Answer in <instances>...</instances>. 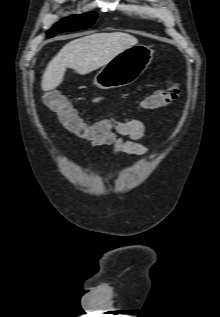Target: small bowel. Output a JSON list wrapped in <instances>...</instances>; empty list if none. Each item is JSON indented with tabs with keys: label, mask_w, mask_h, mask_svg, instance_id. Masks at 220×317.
<instances>
[{
	"label": "small bowel",
	"mask_w": 220,
	"mask_h": 317,
	"mask_svg": "<svg viewBox=\"0 0 220 317\" xmlns=\"http://www.w3.org/2000/svg\"><path fill=\"white\" fill-rule=\"evenodd\" d=\"M102 100L101 97L94 99V103ZM112 129L104 134L99 133L96 124L86 125L81 132L76 135L89 142L93 146L113 145L116 153L141 155L146 151V147L137 142L145 136V124L139 120L121 121L116 118L111 119Z\"/></svg>",
	"instance_id": "c3829d8e"
}]
</instances>
